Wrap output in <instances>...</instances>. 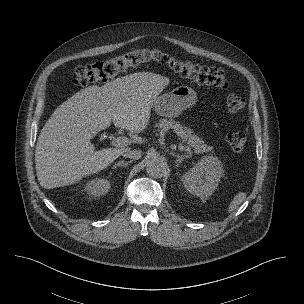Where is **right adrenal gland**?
<instances>
[{
  "label": "right adrenal gland",
  "instance_id": "2a0ac1e0",
  "mask_svg": "<svg viewBox=\"0 0 304 304\" xmlns=\"http://www.w3.org/2000/svg\"><path fill=\"white\" fill-rule=\"evenodd\" d=\"M131 162H132V160H130L128 162H125L124 160H120L118 163L115 164L114 168L121 167V166L127 168Z\"/></svg>",
  "mask_w": 304,
  "mask_h": 304
}]
</instances>
